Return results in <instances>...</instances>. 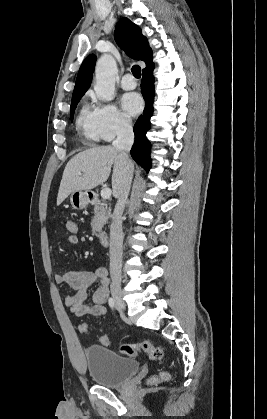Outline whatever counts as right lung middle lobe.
<instances>
[{
    "mask_svg": "<svg viewBox=\"0 0 267 419\" xmlns=\"http://www.w3.org/2000/svg\"><path fill=\"white\" fill-rule=\"evenodd\" d=\"M81 98H82V96L72 97V103H71V107H70L71 119H73L76 106H77V104H78V102L80 101Z\"/></svg>",
    "mask_w": 267,
    "mask_h": 419,
    "instance_id": "obj_1",
    "label": "right lung middle lobe"
}]
</instances>
